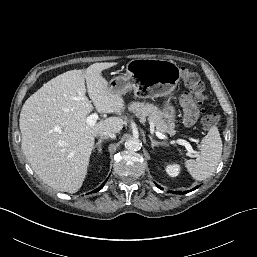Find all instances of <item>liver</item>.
<instances>
[{
    "label": "liver",
    "mask_w": 257,
    "mask_h": 257,
    "mask_svg": "<svg viewBox=\"0 0 257 257\" xmlns=\"http://www.w3.org/2000/svg\"><path fill=\"white\" fill-rule=\"evenodd\" d=\"M114 62L94 63L70 70L45 83L24 103L19 119L21 148L33 171L57 191L77 192L87 175L95 137L102 131L118 133L124 121L110 117L89 125L93 110L121 114L122 94L108 87L102 71ZM87 92L92 101L86 97Z\"/></svg>",
    "instance_id": "obj_1"
}]
</instances>
